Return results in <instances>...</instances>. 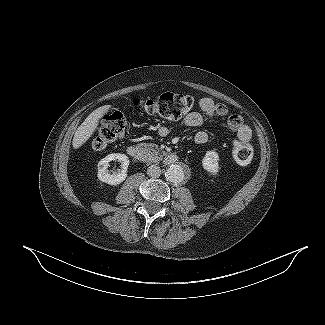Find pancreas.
Here are the masks:
<instances>
[{"instance_id":"cf45deb5","label":"pancreas","mask_w":325,"mask_h":325,"mask_svg":"<svg viewBox=\"0 0 325 325\" xmlns=\"http://www.w3.org/2000/svg\"><path fill=\"white\" fill-rule=\"evenodd\" d=\"M141 146L150 160H160L163 155H166V152H160V149L156 144L142 143Z\"/></svg>"}]
</instances>
